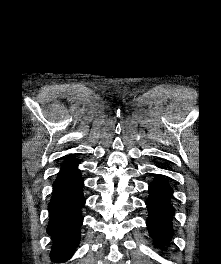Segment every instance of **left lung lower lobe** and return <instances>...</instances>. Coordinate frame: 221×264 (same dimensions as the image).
I'll return each instance as SVG.
<instances>
[{
	"instance_id": "left-lung-lower-lobe-1",
	"label": "left lung lower lobe",
	"mask_w": 221,
	"mask_h": 264,
	"mask_svg": "<svg viewBox=\"0 0 221 264\" xmlns=\"http://www.w3.org/2000/svg\"><path fill=\"white\" fill-rule=\"evenodd\" d=\"M150 197L146 201L149 210L147 226L157 247L166 245L173 236L172 216L174 208L170 204L172 189L164 179L155 180L149 186Z\"/></svg>"
}]
</instances>
